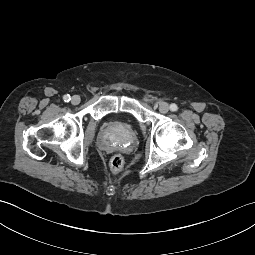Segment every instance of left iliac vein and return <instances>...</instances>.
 I'll return each mask as SVG.
<instances>
[{
  "instance_id": "4c4485c4",
  "label": "left iliac vein",
  "mask_w": 255,
  "mask_h": 255,
  "mask_svg": "<svg viewBox=\"0 0 255 255\" xmlns=\"http://www.w3.org/2000/svg\"><path fill=\"white\" fill-rule=\"evenodd\" d=\"M159 111L163 114H166L169 111V105L165 102H161L159 105Z\"/></svg>"
}]
</instances>
